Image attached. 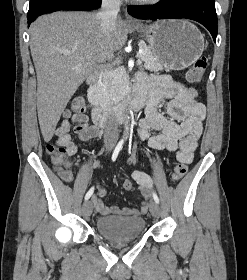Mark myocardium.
<instances>
[{"instance_id":"obj_1","label":"myocardium","mask_w":247,"mask_h":280,"mask_svg":"<svg viewBox=\"0 0 247 280\" xmlns=\"http://www.w3.org/2000/svg\"><path fill=\"white\" fill-rule=\"evenodd\" d=\"M134 1L141 4H153L159 2L160 0H134Z\"/></svg>"}]
</instances>
